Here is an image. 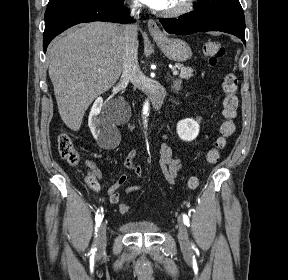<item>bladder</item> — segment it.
<instances>
[{"mask_svg":"<svg viewBox=\"0 0 288 280\" xmlns=\"http://www.w3.org/2000/svg\"><path fill=\"white\" fill-rule=\"evenodd\" d=\"M127 233L153 234L159 231V226L153 221H126L120 225Z\"/></svg>","mask_w":288,"mask_h":280,"instance_id":"1","label":"bladder"}]
</instances>
